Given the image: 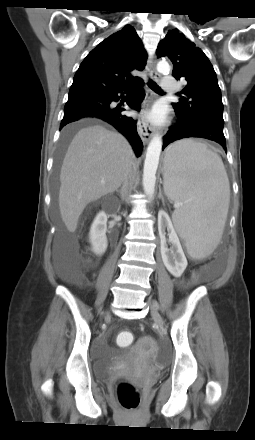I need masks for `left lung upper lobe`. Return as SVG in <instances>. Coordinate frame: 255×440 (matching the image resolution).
<instances>
[{
  "label": "left lung upper lobe",
  "mask_w": 255,
  "mask_h": 440,
  "mask_svg": "<svg viewBox=\"0 0 255 440\" xmlns=\"http://www.w3.org/2000/svg\"><path fill=\"white\" fill-rule=\"evenodd\" d=\"M156 54L168 56L173 63L172 75L185 78V96L172 103L176 114L187 119L209 118L224 122L221 90L216 73L204 52L178 29L168 32L160 41Z\"/></svg>",
  "instance_id": "left-lung-upper-lobe-1"
}]
</instances>
